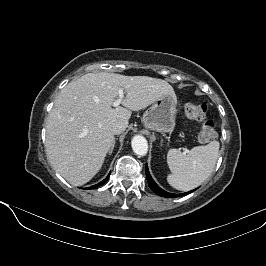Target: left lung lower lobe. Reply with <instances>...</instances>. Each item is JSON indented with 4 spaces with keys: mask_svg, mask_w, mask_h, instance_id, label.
I'll use <instances>...</instances> for the list:
<instances>
[{
    "mask_svg": "<svg viewBox=\"0 0 266 266\" xmlns=\"http://www.w3.org/2000/svg\"><path fill=\"white\" fill-rule=\"evenodd\" d=\"M145 171H146V177H147V181H148V185L151 188V190L156 193L157 195L161 196V197H168V198H176V197H181L186 195L187 193H181V194H174V193H169L163 189H161L156 183L155 181L152 179L149 170H148V166L147 164L145 165ZM192 191L188 192L191 193Z\"/></svg>",
    "mask_w": 266,
    "mask_h": 266,
    "instance_id": "left-lung-lower-lobe-1",
    "label": "left lung lower lobe"
}]
</instances>
